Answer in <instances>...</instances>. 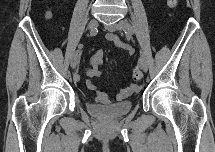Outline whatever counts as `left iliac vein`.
Listing matches in <instances>:
<instances>
[{"label":"left iliac vein","mask_w":215,"mask_h":152,"mask_svg":"<svg viewBox=\"0 0 215 152\" xmlns=\"http://www.w3.org/2000/svg\"><path fill=\"white\" fill-rule=\"evenodd\" d=\"M122 22H125V21H122ZM122 22H118V23H114V24H109V25H106V29L110 32H115V31H118V30H122L124 29L123 28V25H122ZM141 57L143 58V62L141 63V68L143 69L144 72H147L148 70V63H147V59L145 57V55L143 54V52H141Z\"/></svg>","instance_id":"left-iliac-vein-1"}]
</instances>
